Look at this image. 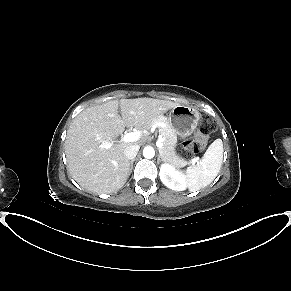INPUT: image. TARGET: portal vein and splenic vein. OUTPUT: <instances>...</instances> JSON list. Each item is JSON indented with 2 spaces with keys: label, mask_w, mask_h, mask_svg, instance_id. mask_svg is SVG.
I'll list each match as a JSON object with an SVG mask.
<instances>
[{
  "label": "portal vein and splenic vein",
  "mask_w": 291,
  "mask_h": 291,
  "mask_svg": "<svg viewBox=\"0 0 291 291\" xmlns=\"http://www.w3.org/2000/svg\"><path fill=\"white\" fill-rule=\"evenodd\" d=\"M141 138V132L140 131H135V132H131V133H126L124 135V137L121 139L122 142H134L137 141ZM164 137H162L161 135L158 137L157 141H156V146L158 148H162L163 147V141H164ZM112 146L111 142H105L103 143V147L104 148H110ZM199 160V157H195L194 159L191 160V163L194 164L195 162H197Z\"/></svg>",
  "instance_id": "1"
}]
</instances>
